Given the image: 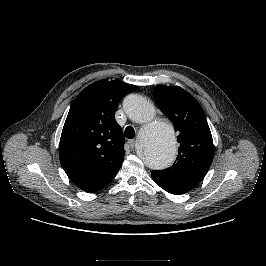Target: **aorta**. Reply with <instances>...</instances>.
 I'll use <instances>...</instances> for the list:
<instances>
[{"label": "aorta", "mask_w": 266, "mask_h": 266, "mask_svg": "<svg viewBox=\"0 0 266 266\" xmlns=\"http://www.w3.org/2000/svg\"><path fill=\"white\" fill-rule=\"evenodd\" d=\"M128 117L142 124L140 131L141 155L146 165L154 170L169 167L176 155V139L173 127L164 122H154L153 104L143 96L129 95L124 100Z\"/></svg>", "instance_id": "1"}]
</instances>
